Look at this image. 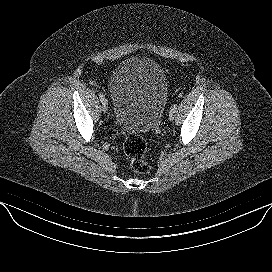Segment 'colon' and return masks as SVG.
I'll list each match as a JSON object with an SVG mask.
<instances>
[{
	"label": "colon",
	"mask_w": 272,
	"mask_h": 272,
	"mask_svg": "<svg viewBox=\"0 0 272 272\" xmlns=\"http://www.w3.org/2000/svg\"><path fill=\"white\" fill-rule=\"evenodd\" d=\"M146 151L147 144L141 136L129 134L125 137L124 152L130 160L132 171L135 173L145 174L151 170V165L145 158Z\"/></svg>",
	"instance_id": "obj_1"
}]
</instances>
